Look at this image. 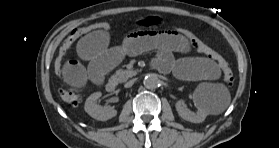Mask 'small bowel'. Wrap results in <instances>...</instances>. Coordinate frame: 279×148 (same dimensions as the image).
<instances>
[{"label": "small bowel", "instance_id": "1", "mask_svg": "<svg viewBox=\"0 0 279 148\" xmlns=\"http://www.w3.org/2000/svg\"><path fill=\"white\" fill-rule=\"evenodd\" d=\"M156 50L154 65L163 72L173 71L185 80H215L219 77L218 65L207 58L185 57L179 60L173 53H188L190 44L181 36L168 31H138L128 35L118 46L109 45L106 31H94L79 41V57L88 62L84 66L78 60H68L63 67L64 80L75 87L87 81L100 82L106 72L119 64L125 57Z\"/></svg>", "mask_w": 279, "mask_h": 148}]
</instances>
